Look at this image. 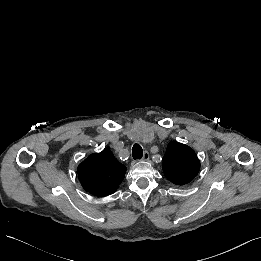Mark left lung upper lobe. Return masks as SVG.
<instances>
[{
	"label": "left lung upper lobe",
	"mask_w": 261,
	"mask_h": 261,
	"mask_svg": "<svg viewBox=\"0 0 261 261\" xmlns=\"http://www.w3.org/2000/svg\"><path fill=\"white\" fill-rule=\"evenodd\" d=\"M162 167L168 180L176 185H185L198 174L200 161L192 148L173 141L167 146Z\"/></svg>",
	"instance_id": "1"
}]
</instances>
